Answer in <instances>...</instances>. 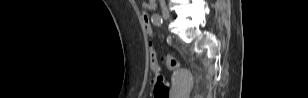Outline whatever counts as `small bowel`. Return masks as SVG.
Wrapping results in <instances>:
<instances>
[{
  "label": "small bowel",
  "mask_w": 308,
  "mask_h": 98,
  "mask_svg": "<svg viewBox=\"0 0 308 98\" xmlns=\"http://www.w3.org/2000/svg\"><path fill=\"white\" fill-rule=\"evenodd\" d=\"M142 7L146 10H154L156 8V1L155 0H149V1L143 2ZM144 24H145V22H144Z\"/></svg>",
  "instance_id": "1"
}]
</instances>
